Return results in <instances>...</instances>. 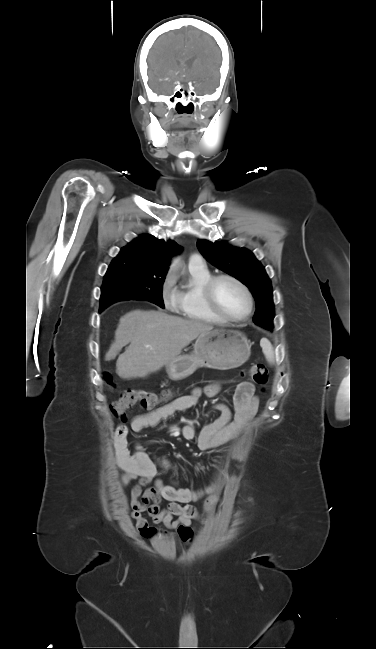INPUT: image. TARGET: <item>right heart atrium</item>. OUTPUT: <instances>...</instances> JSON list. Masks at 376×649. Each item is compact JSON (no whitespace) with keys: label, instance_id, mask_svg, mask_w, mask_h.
<instances>
[{"label":"right heart atrium","instance_id":"d8ad5b80","mask_svg":"<svg viewBox=\"0 0 376 649\" xmlns=\"http://www.w3.org/2000/svg\"><path fill=\"white\" fill-rule=\"evenodd\" d=\"M174 282L175 275L170 271L166 273L161 284L162 302L168 309H175L178 301L177 293L174 288Z\"/></svg>","mask_w":376,"mask_h":649}]
</instances>
